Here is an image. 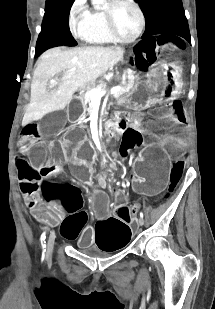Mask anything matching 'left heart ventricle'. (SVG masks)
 I'll return each mask as SVG.
<instances>
[{
    "label": "left heart ventricle",
    "mask_w": 215,
    "mask_h": 309,
    "mask_svg": "<svg viewBox=\"0 0 215 309\" xmlns=\"http://www.w3.org/2000/svg\"><path fill=\"white\" fill-rule=\"evenodd\" d=\"M112 17L111 20L112 25H115L116 29L122 31V34H129V31L134 30V15L133 13L126 7H118L111 12ZM132 34H130L131 36Z\"/></svg>",
    "instance_id": "1"
}]
</instances>
